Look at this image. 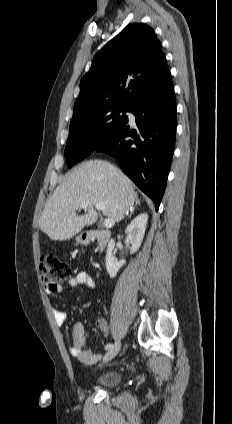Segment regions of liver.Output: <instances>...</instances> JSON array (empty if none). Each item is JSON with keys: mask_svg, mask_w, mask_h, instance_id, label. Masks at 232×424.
Wrapping results in <instances>:
<instances>
[{"mask_svg": "<svg viewBox=\"0 0 232 424\" xmlns=\"http://www.w3.org/2000/svg\"><path fill=\"white\" fill-rule=\"evenodd\" d=\"M136 197L132 181L120 169L107 161H86L55 189L45 204L39 227L51 240H69L97 221L95 203L103 202V215L115 223L124 218ZM82 203L88 204L86 213L78 216L76 210Z\"/></svg>", "mask_w": 232, "mask_h": 424, "instance_id": "1", "label": "liver"}]
</instances>
